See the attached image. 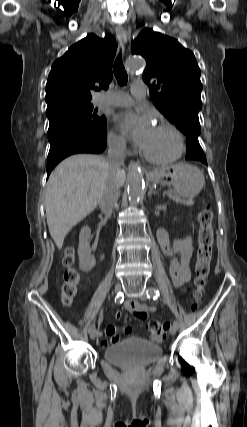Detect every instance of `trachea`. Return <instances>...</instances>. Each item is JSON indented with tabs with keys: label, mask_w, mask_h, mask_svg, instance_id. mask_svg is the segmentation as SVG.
I'll return each instance as SVG.
<instances>
[{
	"label": "trachea",
	"mask_w": 247,
	"mask_h": 427,
	"mask_svg": "<svg viewBox=\"0 0 247 427\" xmlns=\"http://www.w3.org/2000/svg\"><path fill=\"white\" fill-rule=\"evenodd\" d=\"M114 74L119 85L124 86L127 84L128 75L122 63L121 53H119L118 57L115 60Z\"/></svg>",
	"instance_id": "1"
}]
</instances>
